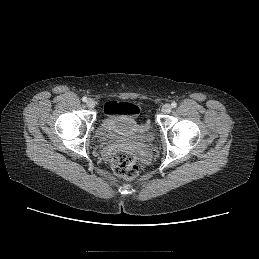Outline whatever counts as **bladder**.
Instances as JSON below:
<instances>
[{
    "mask_svg": "<svg viewBox=\"0 0 259 259\" xmlns=\"http://www.w3.org/2000/svg\"><path fill=\"white\" fill-rule=\"evenodd\" d=\"M152 134L150 126L142 128L132 117L107 116L101 128V136L111 140L132 136L151 138Z\"/></svg>",
    "mask_w": 259,
    "mask_h": 259,
    "instance_id": "1",
    "label": "bladder"
}]
</instances>
